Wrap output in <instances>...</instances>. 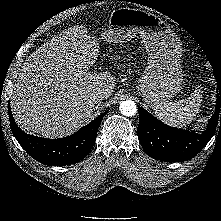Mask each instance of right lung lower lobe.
<instances>
[{
  "label": "right lung lower lobe",
  "instance_id": "obj_1",
  "mask_svg": "<svg viewBox=\"0 0 221 221\" xmlns=\"http://www.w3.org/2000/svg\"><path fill=\"white\" fill-rule=\"evenodd\" d=\"M106 113H102L88 125L68 137L47 139L24 133L15 123L8 104L11 129L22 148L38 162L55 166L78 162L89 154L94 146L98 127Z\"/></svg>",
  "mask_w": 221,
  "mask_h": 221
}]
</instances>
